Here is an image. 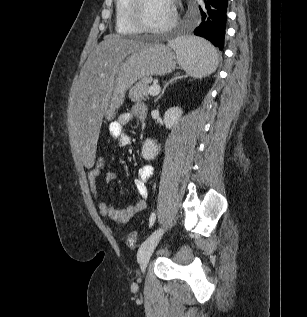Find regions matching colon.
<instances>
[{
    "mask_svg": "<svg viewBox=\"0 0 307 317\" xmlns=\"http://www.w3.org/2000/svg\"><path fill=\"white\" fill-rule=\"evenodd\" d=\"M104 167H105V159L101 156L97 157L95 159L94 169L101 171L104 169ZM137 237H138L137 232L135 231L130 232L125 236V243L129 246H134L137 241Z\"/></svg>",
    "mask_w": 307,
    "mask_h": 317,
    "instance_id": "obj_1",
    "label": "colon"
}]
</instances>
